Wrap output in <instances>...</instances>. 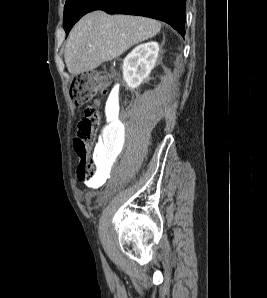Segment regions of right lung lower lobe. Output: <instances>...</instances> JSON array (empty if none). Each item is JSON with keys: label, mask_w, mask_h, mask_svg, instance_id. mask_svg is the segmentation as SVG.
<instances>
[{"label": "right lung lower lobe", "mask_w": 267, "mask_h": 298, "mask_svg": "<svg viewBox=\"0 0 267 298\" xmlns=\"http://www.w3.org/2000/svg\"><path fill=\"white\" fill-rule=\"evenodd\" d=\"M94 10L158 19L172 26L180 34H185V0H98L90 12Z\"/></svg>", "instance_id": "98d812e1"}]
</instances>
